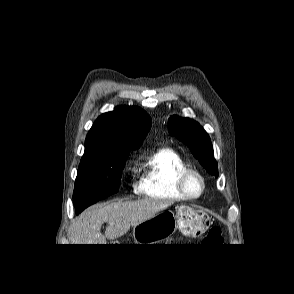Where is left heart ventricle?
<instances>
[{
    "label": "left heart ventricle",
    "instance_id": "1",
    "mask_svg": "<svg viewBox=\"0 0 294 294\" xmlns=\"http://www.w3.org/2000/svg\"><path fill=\"white\" fill-rule=\"evenodd\" d=\"M187 187L192 194H197L201 188V182L198 177L190 176L187 182Z\"/></svg>",
    "mask_w": 294,
    "mask_h": 294
}]
</instances>
